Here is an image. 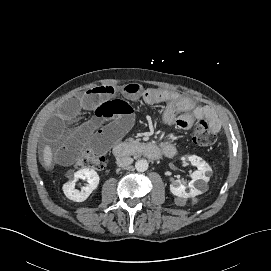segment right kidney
Instances as JSON below:
<instances>
[{
    "label": "right kidney",
    "mask_w": 271,
    "mask_h": 271,
    "mask_svg": "<svg viewBox=\"0 0 271 271\" xmlns=\"http://www.w3.org/2000/svg\"><path fill=\"white\" fill-rule=\"evenodd\" d=\"M78 179H86L88 184L81 189V191L75 189V184ZM99 184V176L94 169L84 168L74 173L73 179L66 182L62 189L65 196L75 202L85 201L93 190L97 188Z\"/></svg>",
    "instance_id": "right-kidney-1"
}]
</instances>
